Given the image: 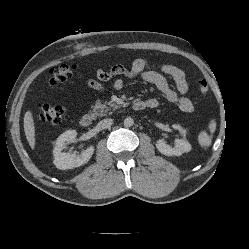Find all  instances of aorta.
I'll list each match as a JSON object with an SVG mask.
<instances>
[{
	"label": "aorta",
	"instance_id": "762f6f07",
	"mask_svg": "<svg viewBox=\"0 0 249 249\" xmlns=\"http://www.w3.org/2000/svg\"><path fill=\"white\" fill-rule=\"evenodd\" d=\"M134 124V120L131 117H127L124 119V125L126 127H131Z\"/></svg>",
	"mask_w": 249,
	"mask_h": 249
}]
</instances>
